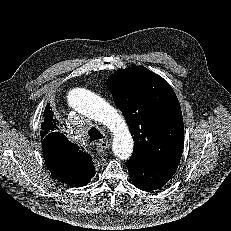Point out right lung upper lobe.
<instances>
[{
  "mask_svg": "<svg viewBox=\"0 0 231 231\" xmlns=\"http://www.w3.org/2000/svg\"><path fill=\"white\" fill-rule=\"evenodd\" d=\"M43 116L41 137L48 170L54 178L65 184L75 187L86 185L95 175L91 156L60 132L62 125L54 117L49 104Z\"/></svg>",
  "mask_w": 231,
  "mask_h": 231,
  "instance_id": "1",
  "label": "right lung upper lobe"
}]
</instances>
